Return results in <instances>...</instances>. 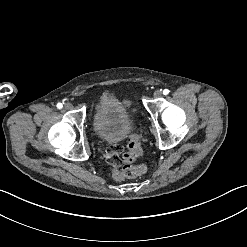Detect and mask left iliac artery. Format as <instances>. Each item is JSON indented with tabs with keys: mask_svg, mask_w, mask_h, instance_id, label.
I'll list each match as a JSON object with an SVG mask.
<instances>
[{
	"mask_svg": "<svg viewBox=\"0 0 247 247\" xmlns=\"http://www.w3.org/2000/svg\"><path fill=\"white\" fill-rule=\"evenodd\" d=\"M169 92H170V91H169L168 89H164V90H163V94H164V95H167Z\"/></svg>",
	"mask_w": 247,
	"mask_h": 247,
	"instance_id": "obj_1",
	"label": "left iliac artery"
}]
</instances>
